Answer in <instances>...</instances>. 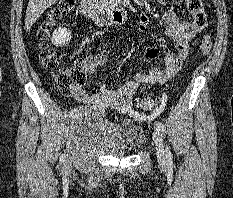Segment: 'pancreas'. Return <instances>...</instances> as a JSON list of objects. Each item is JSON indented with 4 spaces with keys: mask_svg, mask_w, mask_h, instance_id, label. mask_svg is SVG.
<instances>
[{
    "mask_svg": "<svg viewBox=\"0 0 233 198\" xmlns=\"http://www.w3.org/2000/svg\"><path fill=\"white\" fill-rule=\"evenodd\" d=\"M93 2L105 8H115L121 0H93Z\"/></svg>",
    "mask_w": 233,
    "mask_h": 198,
    "instance_id": "1",
    "label": "pancreas"
}]
</instances>
